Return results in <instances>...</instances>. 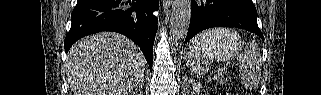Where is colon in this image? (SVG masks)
<instances>
[{"mask_svg": "<svg viewBox=\"0 0 321 95\" xmlns=\"http://www.w3.org/2000/svg\"><path fill=\"white\" fill-rule=\"evenodd\" d=\"M230 93H227V92H225V93H223V95H229Z\"/></svg>", "mask_w": 321, "mask_h": 95, "instance_id": "obj_1", "label": "colon"}]
</instances>
